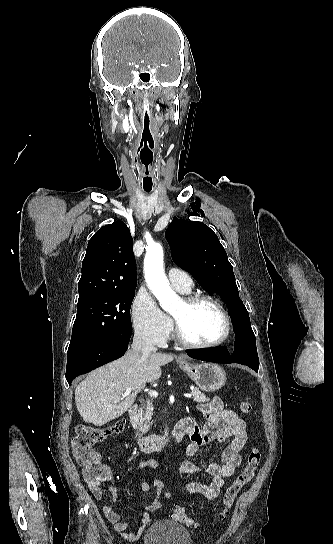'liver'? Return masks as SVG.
<instances>
[{
  "mask_svg": "<svg viewBox=\"0 0 333 544\" xmlns=\"http://www.w3.org/2000/svg\"><path fill=\"white\" fill-rule=\"evenodd\" d=\"M173 355L154 350L146 357L130 349L126 354L87 375L75 389V402L86 423L102 426L123 415L146 383L161 376V366ZM133 390L126 396V388Z\"/></svg>",
  "mask_w": 333,
  "mask_h": 544,
  "instance_id": "obj_1",
  "label": "liver"
}]
</instances>
